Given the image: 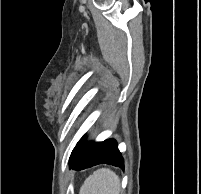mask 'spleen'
Masks as SVG:
<instances>
[{
    "label": "spleen",
    "mask_w": 201,
    "mask_h": 194,
    "mask_svg": "<svg viewBox=\"0 0 201 194\" xmlns=\"http://www.w3.org/2000/svg\"><path fill=\"white\" fill-rule=\"evenodd\" d=\"M120 179L110 169L102 168L94 171L80 188L79 194H119Z\"/></svg>",
    "instance_id": "1"
}]
</instances>
